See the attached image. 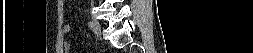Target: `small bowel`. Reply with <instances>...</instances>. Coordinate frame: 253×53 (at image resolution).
<instances>
[{"label": "small bowel", "mask_w": 253, "mask_h": 53, "mask_svg": "<svg viewBox=\"0 0 253 53\" xmlns=\"http://www.w3.org/2000/svg\"><path fill=\"white\" fill-rule=\"evenodd\" d=\"M64 33H68L70 31V26L69 25H64L63 27ZM67 46V45H66ZM68 47V46H67Z\"/></svg>", "instance_id": "small-bowel-1"}]
</instances>
